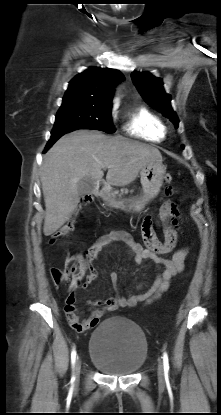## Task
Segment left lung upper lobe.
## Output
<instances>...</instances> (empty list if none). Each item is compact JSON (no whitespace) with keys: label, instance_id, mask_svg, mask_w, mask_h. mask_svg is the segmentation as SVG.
<instances>
[{"label":"left lung upper lobe","instance_id":"1","mask_svg":"<svg viewBox=\"0 0 221 415\" xmlns=\"http://www.w3.org/2000/svg\"><path fill=\"white\" fill-rule=\"evenodd\" d=\"M131 78L143 99L169 118L177 128L179 119L171 107L170 95L164 91L162 79L148 72H133Z\"/></svg>","mask_w":221,"mask_h":415}]
</instances>
